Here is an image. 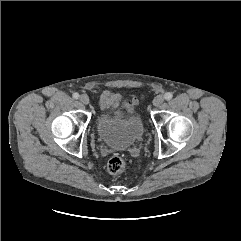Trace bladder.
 I'll use <instances>...</instances> for the list:
<instances>
[{
	"mask_svg": "<svg viewBox=\"0 0 241 241\" xmlns=\"http://www.w3.org/2000/svg\"><path fill=\"white\" fill-rule=\"evenodd\" d=\"M97 132L101 141L109 147L125 150L142 138L144 126L137 114L122 118L117 113L104 111L97 118Z\"/></svg>",
	"mask_w": 241,
	"mask_h": 241,
	"instance_id": "1",
	"label": "bladder"
}]
</instances>
